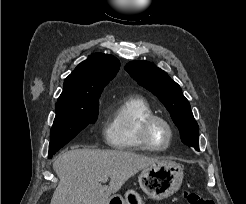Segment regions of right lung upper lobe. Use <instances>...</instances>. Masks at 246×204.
<instances>
[{"instance_id": "obj_1", "label": "right lung upper lobe", "mask_w": 246, "mask_h": 204, "mask_svg": "<svg viewBox=\"0 0 246 204\" xmlns=\"http://www.w3.org/2000/svg\"><path fill=\"white\" fill-rule=\"evenodd\" d=\"M119 67V60L112 55L92 54L65 79L64 89L57 103L101 95L103 88L115 77Z\"/></svg>"}]
</instances>
